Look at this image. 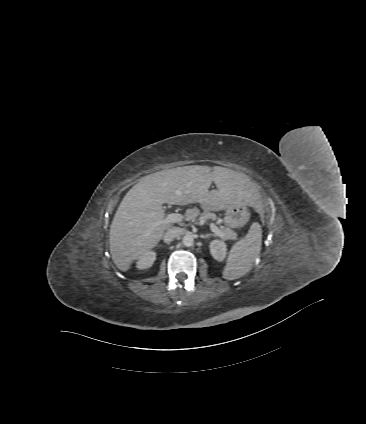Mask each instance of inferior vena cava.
I'll return each mask as SVG.
<instances>
[{"label":"inferior vena cava","instance_id":"obj_1","mask_svg":"<svg viewBox=\"0 0 366 424\" xmlns=\"http://www.w3.org/2000/svg\"><path fill=\"white\" fill-rule=\"evenodd\" d=\"M182 234V229L178 227L170 228L163 236L165 243H171L174 239Z\"/></svg>","mask_w":366,"mask_h":424}]
</instances>
